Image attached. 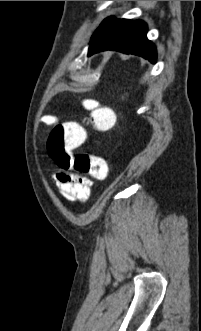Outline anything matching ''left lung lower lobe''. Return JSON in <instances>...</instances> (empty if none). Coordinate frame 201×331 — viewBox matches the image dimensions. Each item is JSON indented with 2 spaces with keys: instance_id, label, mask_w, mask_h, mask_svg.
<instances>
[{
  "instance_id": "obj_1",
  "label": "left lung lower lobe",
  "mask_w": 201,
  "mask_h": 331,
  "mask_svg": "<svg viewBox=\"0 0 201 331\" xmlns=\"http://www.w3.org/2000/svg\"><path fill=\"white\" fill-rule=\"evenodd\" d=\"M147 25L140 20L105 19L91 38L88 56L105 50L142 56L156 62V48L146 37Z\"/></svg>"
}]
</instances>
